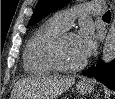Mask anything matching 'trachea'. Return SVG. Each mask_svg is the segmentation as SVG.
<instances>
[{
    "label": "trachea",
    "mask_w": 115,
    "mask_h": 99,
    "mask_svg": "<svg viewBox=\"0 0 115 99\" xmlns=\"http://www.w3.org/2000/svg\"><path fill=\"white\" fill-rule=\"evenodd\" d=\"M103 17H108V18H110V17H111L110 11H107V12L103 15Z\"/></svg>",
    "instance_id": "3493384b"
}]
</instances>
